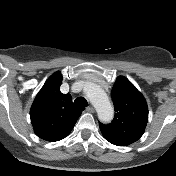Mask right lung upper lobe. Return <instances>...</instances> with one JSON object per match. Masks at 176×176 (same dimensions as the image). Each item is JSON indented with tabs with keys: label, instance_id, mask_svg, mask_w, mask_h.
Returning a JSON list of instances; mask_svg holds the SVG:
<instances>
[{
	"label": "right lung upper lobe",
	"instance_id": "cb5924a9",
	"mask_svg": "<svg viewBox=\"0 0 176 176\" xmlns=\"http://www.w3.org/2000/svg\"><path fill=\"white\" fill-rule=\"evenodd\" d=\"M62 75L54 73L38 92L30 118L36 135L47 141L66 137L74 127L84 106L74 105L70 94H62Z\"/></svg>",
	"mask_w": 176,
	"mask_h": 176
}]
</instances>
